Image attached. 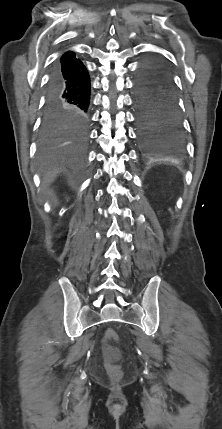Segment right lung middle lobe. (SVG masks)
Segmentation results:
<instances>
[{"label":"right lung middle lobe","instance_id":"obj_1","mask_svg":"<svg viewBox=\"0 0 222 429\" xmlns=\"http://www.w3.org/2000/svg\"><path fill=\"white\" fill-rule=\"evenodd\" d=\"M63 137L64 133L61 130L42 125L40 139L43 146L53 145Z\"/></svg>","mask_w":222,"mask_h":429}]
</instances>
